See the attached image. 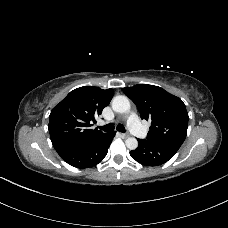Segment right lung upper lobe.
<instances>
[{
	"instance_id": "1",
	"label": "right lung upper lobe",
	"mask_w": 228,
	"mask_h": 228,
	"mask_svg": "<svg viewBox=\"0 0 228 228\" xmlns=\"http://www.w3.org/2000/svg\"><path fill=\"white\" fill-rule=\"evenodd\" d=\"M114 95L113 89L83 86L71 91L49 116V132L54 148L81 144L105 134L91 129V122L100 115Z\"/></svg>"
}]
</instances>
